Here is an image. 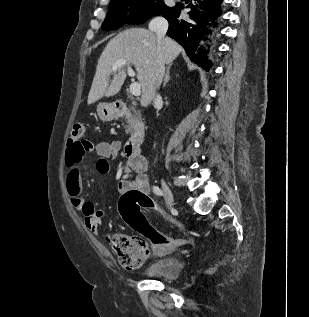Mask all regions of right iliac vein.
<instances>
[{
	"label": "right iliac vein",
	"mask_w": 309,
	"mask_h": 317,
	"mask_svg": "<svg viewBox=\"0 0 309 317\" xmlns=\"http://www.w3.org/2000/svg\"><path fill=\"white\" fill-rule=\"evenodd\" d=\"M161 184H162V188H163V191H164V194H165V198H166L167 204L171 208L175 204L172 191H171L170 187L168 186V184L166 183V181L164 179L161 180Z\"/></svg>",
	"instance_id": "1"
}]
</instances>
